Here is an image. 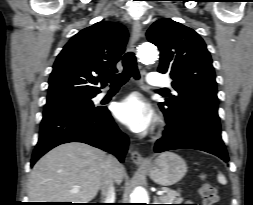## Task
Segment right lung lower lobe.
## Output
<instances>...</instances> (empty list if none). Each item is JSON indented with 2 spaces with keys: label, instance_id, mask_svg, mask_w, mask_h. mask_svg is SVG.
<instances>
[{
  "label": "right lung lower lobe",
  "instance_id": "obj_1",
  "mask_svg": "<svg viewBox=\"0 0 253 205\" xmlns=\"http://www.w3.org/2000/svg\"><path fill=\"white\" fill-rule=\"evenodd\" d=\"M68 142H82L115 155L123 162L128 137L115 124L104 107L92 112L73 109L43 113L39 140L32 155L31 166L50 149Z\"/></svg>",
  "mask_w": 253,
  "mask_h": 205
}]
</instances>
